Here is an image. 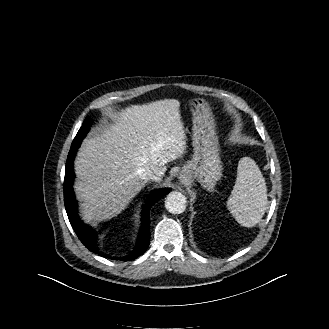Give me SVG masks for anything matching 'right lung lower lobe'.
<instances>
[{
  "label": "right lung lower lobe",
  "mask_w": 329,
  "mask_h": 329,
  "mask_svg": "<svg viewBox=\"0 0 329 329\" xmlns=\"http://www.w3.org/2000/svg\"><path fill=\"white\" fill-rule=\"evenodd\" d=\"M77 149H75L73 152L68 154V158L66 161L65 178H64V204L70 224L74 229V231L76 232L78 238L81 240L84 246L88 248L90 251L97 252L98 254H100L97 247L98 245H97L96 236L93 230L89 226L82 223L77 215V204L72 189V183L74 180L73 160ZM170 190H171L170 188L158 189L152 192L151 195L146 200L143 209L142 227L139 233L137 245L134 252L131 255L123 258H116V257L115 258L108 257V258L115 260L130 261L136 259L146 251L150 242V230H149L150 208L157 200H159L161 197L169 193Z\"/></svg>",
  "instance_id": "1"
}]
</instances>
